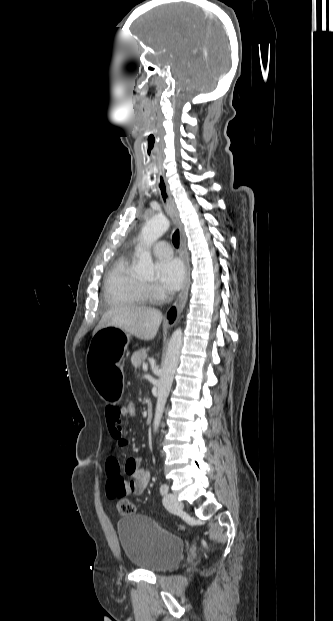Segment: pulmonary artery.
Returning a JSON list of instances; mask_svg holds the SVG:
<instances>
[{
    "instance_id": "obj_1",
    "label": "pulmonary artery",
    "mask_w": 333,
    "mask_h": 621,
    "mask_svg": "<svg viewBox=\"0 0 333 621\" xmlns=\"http://www.w3.org/2000/svg\"><path fill=\"white\" fill-rule=\"evenodd\" d=\"M153 253L159 258H170L172 256V249L168 242L160 241L153 247Z\"/></svg>"
}]
</instances>
